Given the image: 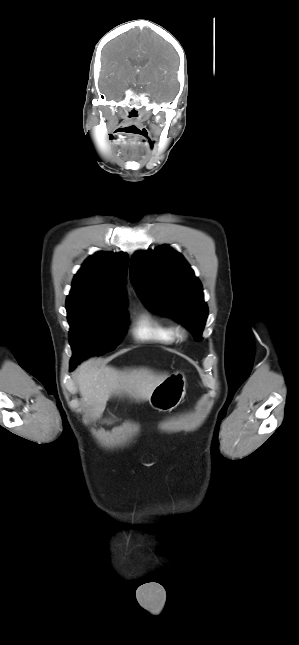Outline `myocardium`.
<instances>
[{
  "label": "myocardium",
  "instance_id": "f54148a6",
  "mask_svg": "<svg viewBox=\"0 0 299 645\" xmlns=\"http://www.w3.org/2000/svg\"><path fill=\"white\" fill-rule=\"evenodd\" d=\"M175 332L179 337H183L185 335V330L181 327L176 328Z\"/></svg>",
  "mask_w": 299,
  "mask_h": 645
}]
</instances>
